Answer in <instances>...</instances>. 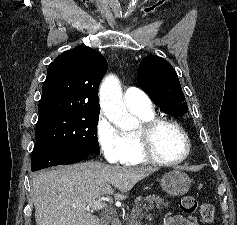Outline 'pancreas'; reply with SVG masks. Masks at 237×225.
I'll list each match as a JSON object with an SVG mask.
<instances>
[{
    "label": "pancreas",
    "instance_id": "obj_1",
    "mask_svg": "<svg viewBox=\"0 0 237 225\" xmlns=\"http://www.w3.org/2000/svg\"><path fill=\"white\" fill-rule=\"evenodd\" d=\"M140 198L141 197L136 200L135 207L132 209L131 214L123 216V221L126 225H137L139 223L138 219L143 216V209H151L154 206L160 209L168 205V202L160 196L149 195L142 202H140Z\"/></svg>",
    "mask_w": 237,
    "mask_h": 225
}]
</instances>
